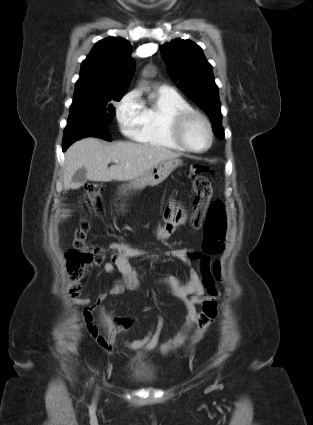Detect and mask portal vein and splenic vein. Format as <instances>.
Returning <instances> with one entry per match:
<instances>
[{
    "label": "portal vein and splenic vein",
    "mask_w": 313,
    "mask_h": 425,
    "mask_svg": "<svg viewBox=\"0 0 313 425\" xmlns=\"http://www.w3.org/2000/svg\"><path fill=\"white\" fill-rule=\"evenodd\" d=\"M113 162H114V163H119V160L114 159V160H113Z\"/></svg>",
    "instance_id": "portal-vein-and-splenic-vein-1"
}]
</instances>
